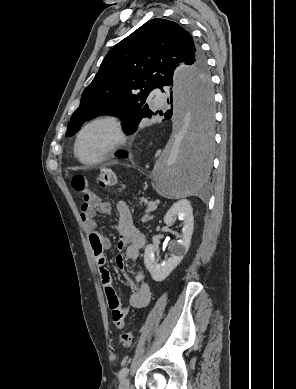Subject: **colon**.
I'll return each mask as SVG.
<instances>
[{
	"label": "colon",
	"instance_id": "colon-1",
	"mask_svg": "<svg viewBox=\"0 0 296 389\" xmlns=\"http://www.w3.org/2000/svg\"><path fill=\"white\" fill-rule=\"evenodd\" d=\"M97 183L103 189H109L117 184V176L115 172L109 167H103L99 170L97 176ZM71 184L74 190L77 192L87 195L90 192L89 180L84 175H74L71 179ZM121 315L119 313L115 314L114 320H120ZM133 341L132 332H124L120 336V342L124 347H130Z\"/></svg>",
	"mask_w": 296,
	"mask_h": 389
}]
</instances>
